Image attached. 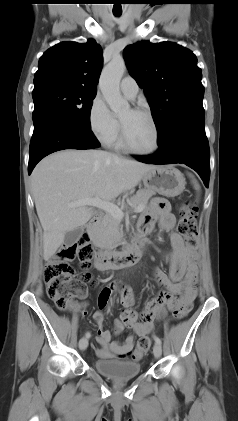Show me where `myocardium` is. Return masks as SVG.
Segmentation results:
<instances>
[{
    "label": "myocardium",
    "instance_id": "1",
    "mask_svg": "<svg viewBox=\"0 0 238 421\" xmlns=\"http://www.w3.org/2000/svg\"><path fill=\"white\" fill-rule=\"evenodd\" d=\"M132 111H134L136 113H139V114H143L146 117H148V119L150 120V122L153 126V129H154L155 143H154L153 148L150 149V150H147V151H141V150H138V149L134 148L130 144V142L128 141L124 125L120 121V140H121V143H122L124 149L127 150L128 152L132 153V154L139 155V156H150V155L155 154L160 148V141H161L160 129H159V126H158V123H157L155 117L153 116V114L149 110H147L145 108H140V107L133 108Z\"/></svg>",
    "mask_w": 238,
    "mask_h": 421
}]
</instances>
